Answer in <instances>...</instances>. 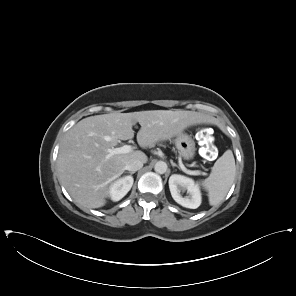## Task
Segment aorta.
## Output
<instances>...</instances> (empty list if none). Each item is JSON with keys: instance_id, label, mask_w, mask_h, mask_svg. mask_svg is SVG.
Segmentation results:
<instances>
[{"instance_id": "obj_1", "label": "aorta", "mask_w": 296, "mask_h": 296, "mask_svg": "<svg viewBox=\"0 0 296 296\" xmlns=\"http://www.w3.org/2000/svg\"><path fill=\"white\" fill-rule=\"evenodd\" d=\"M167 168L168 166L164 161H158L154 166V170L158 174H164L167 171Z\"/></svg>"}]
</instances>
